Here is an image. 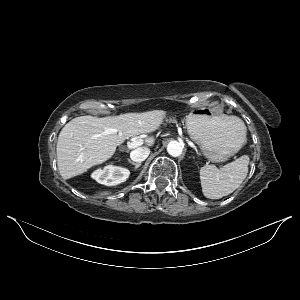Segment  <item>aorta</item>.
I'll return each mask as SVG.
<instances>
[{
  "mask_svg": "<svg viewBox=\"0 0 300 300\" xmlns=\"http://www.w3.org/2000/svg\"><path fill=\"white\" fill-rule=\"evenodd\" d=\"M167 152L172 157H179L183 152V146L178 141H171L167 145Z\"/></svg>",
  "mask_w": 300,
  "mask_h": 300,
  "instance_id": "aorta-1",
  "label": "aorta"
}]
</instances>
